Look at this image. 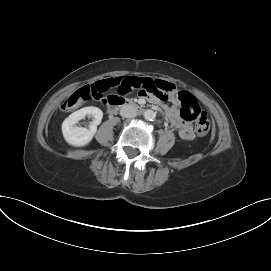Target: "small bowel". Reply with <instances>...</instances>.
<instances>
[{
	"label": "small bowel",
	"instance_id": "1",
	"mask_svg": "<svg viewBox=\"0 0 271 271\" xmlns=\"http://www.w3.org/2000/svg\"><path fill=\"white\" fill-rule=\"evenodd\" d=\"M158 85L163 89H158ZM89 87L95 90L115 87L116 94L138 91L139 98H146L151 105H163L168 119L178 130L182 139L192 140L195 137L192 127L182 119L178 109L174 105H170L171 101L173 104H179V92L169 81L157 80L156 76H119L99 80ZM101 97L102 95L97 99H101Z\"/></svg>",
	"mask_w": 271,
	"mask_h": 271
}]
</instances>
